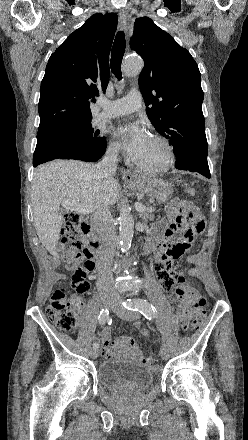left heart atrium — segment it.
<instances>
[{
	"instance_id": "39dd6f15",
	"label": "left heart atrium",
	"mask_w": 248,
	"mask_h": 440,
	"mask_svg": "<svg viewBox=\"0 0 248 440\" xmlns=\"http://www.w3.org/2000/svg\"><path fill=\"white\" fill-rule=\"evenodd\" d=\"M114 133L127 155L135 162L142 157L151 139L140 122L121 124L116 127Z\"/></svg>"
}]
</instances>
